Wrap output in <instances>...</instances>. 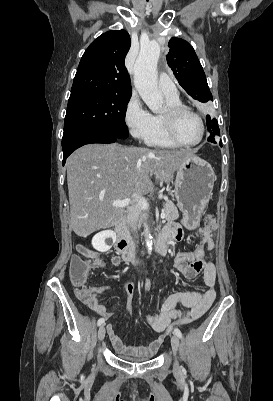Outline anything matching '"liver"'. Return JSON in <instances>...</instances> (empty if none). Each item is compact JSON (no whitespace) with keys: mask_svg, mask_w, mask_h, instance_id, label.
I'll return each instance as SVG.
<instances>
[{"mask_svg":"<svg viewBox=\"0 0 273 401\" xmlns=\"http://www.w3.org/2000/svg\"><path fill=\"white\" fill-rule=\"evenodd\" d=\"M198 148L159 150L123 144H85L66 160L70 225L78 237L115 227L123 211L114 201H135L152 190L149 178L169 182L174 170L188 158H199Z\"/></svg>","mask_w":273,"mask_h":401,"instance_id":"liver-1","label":"liver"}]
</instances>
